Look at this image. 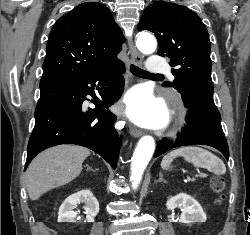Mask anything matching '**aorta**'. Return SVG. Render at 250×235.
I'll list each match as a JSON object with an SVG mask.
<instances>
[{
    "label": "aorta",
    "mask_w": 250,
    "mask_h": 235,
    "mask_svg": "<svg viewBox=\"0 0 250 235\" xmlns=\"http://www.w3.org/2000/svg\"><path fill=\"white\" fill-rule=\"evenodd\" d=\"M136 45L144 54H151L156 50V39L148 34L141 33L138 36ZM155 149V141L151 136H144L138 142L134 151L131 163V177L133 188H137L142 179L144 170L146 169Z\"/></svg>",
    "instance_id": "aorta-1"
}]
</instances>
